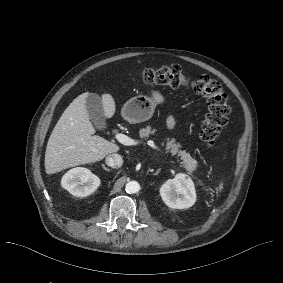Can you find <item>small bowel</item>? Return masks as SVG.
Segmentation results:
<instances>
[{"mask_svg":"<svg viewBox=\"0 0 283 283\" xmlns=\"http://www.w3.org/2000/svg\"><path fill=\"white\" fill-rule=\"evenodd\" d=\"M176 121L175 118L173 116H169L166 119V125L168 129H173L175 127Z\"/></svg>","mask_w":283,"mask_h":283,"instance_id":"c3829d8e","label":"small bowel"}]
</instances>
